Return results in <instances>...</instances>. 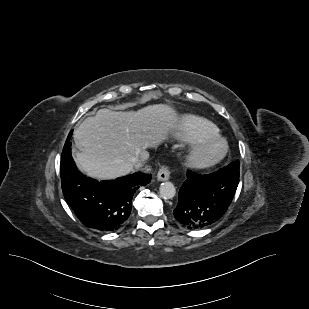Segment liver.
I'll list each match as a JSON object with an SVG mask.
<instances>
[{
  "instance_id": "obj_1",
  "label": "liver",
  "mask_w": 309,
  "mask_h": 309,
  "mask_svg": "<svg viewBox=\"0 0 309 309\" xmlns=\"http://www.w3.org/2000/svg\"><path fill=\"white\" fill-rule=\"evenodd\" d=\"M178 122L176 111L166 104L129 112L100 109L74 132L76 163L84 173L100 180L129 174L133 170L130 158L146 160L147 149L166 140Z\"/></svg>"
}]
</instances>
